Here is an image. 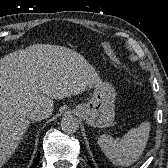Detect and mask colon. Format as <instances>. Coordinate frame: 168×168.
I'll use <instances>...</instances> for the list:
<instances>
[{
	"mask_svg": "<svg viewBox=\"0 0 168 168\" xmlns=\"http://www.w3.org/2000/svg\"><path fill=\"white\" fill-rule=\"evenodd\" d=\"M103 49H104V52L107 54V56L112 60L114 61L115 63H119V60L111 46V44L109 42H104L103 43Z\"/></svg>",
	"mask_w": 168,
	"mask_h": 168,
	"instance_id": "1",
	"label": "colon"
}]
</instances>
